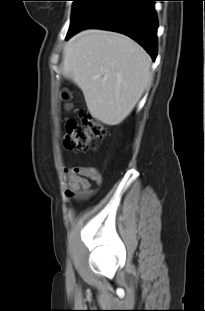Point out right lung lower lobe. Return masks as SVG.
Segmentation results:
<instances>
[{
	"label": "right lung lower lobe",
	"instance_id": "98d812e1",
	"mask_svg": "<svg viewBox=\"0 0 205 311\" xmlns=\"http://www.w3.org/2000/svg\"><path fill=\"white\" fill-rule=\"evenodd\" d=\"M156 0H90L66 39L86 28H100L128 35L149 53L157 54Z\"/></svg>",
	"mask_w": 205,
	"mask_h": 311
}]
</instances>
